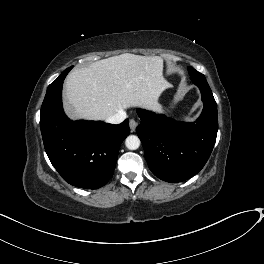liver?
<instances>
[{"label":"liver","instance_id":"6515ba94","mask_svg":"<svg viewBox=\"0 0 264 264\" xmlns=\"http://www.w3.org/2000/svg\"><path fill=\"white\" fill-rule=\"evenodd\" d=\"M157 56L124 53L77 68L65 80V108L73 119L106 120L136 107L155 111L170 84Z\"/></svg>","mask_w":264,"mask_h":264}]
</instances>
